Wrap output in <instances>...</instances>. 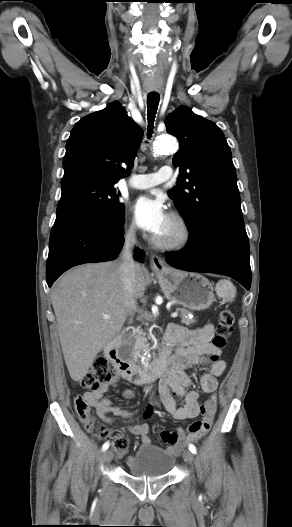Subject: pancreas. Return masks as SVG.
<instances>
[{"label":"pancreas","instance_id":"pancreas-1","mask_svg":"<svg viewBox=\"0 0 292 527\" xmlns=\"http://www.w3.org/2000/svg\"><path fill=\"white\" fill-rule=\"evenodd\" d=\"M176 311L180 312L181 323L186 324V325H190V324L196 322L195 319H192V318L189 317V315L191 313L187 309L177 308ZM144 336H145V333H143L140 330H136L134 332V334L131 336L130 341L132 343H134L135 345H140L142 342L145 341Z\"/></svg>","mask_w":292,"mask_h":527}]
</instances>
